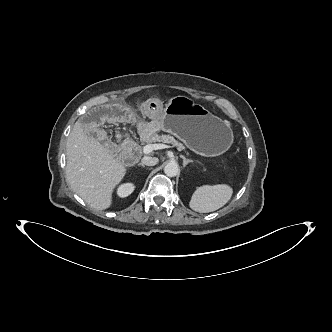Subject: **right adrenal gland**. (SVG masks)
<instances>
[{
	"label": "right adrenal gland",
	"mask_w": 332,
	"mask_h": 332,
	"mask_svg": "<svg viewBox=\"0 0 332 332\" xmlns=\"http://www.w3.org/2000/svg\"><path fill=\"white\" fill-rule=\"evenodd\" d=\"M138 166H142L143 168H146L144 164L139 163Z\"/></svg>",
	"instance_id": "obj_1"
}]
</instances>
